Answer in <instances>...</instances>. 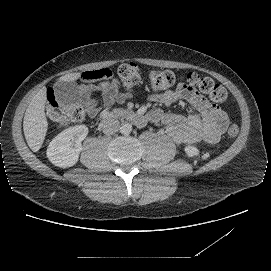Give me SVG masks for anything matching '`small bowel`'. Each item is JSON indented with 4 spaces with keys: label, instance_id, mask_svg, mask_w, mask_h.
Segmentation results:
<instances>
[{
    "label": "small bowel",
    "instance_id": "1",
    "mask_svg": "<svg viewBox=\"0 0 271 271\" xmlns=\"http://www.w3.org/2000/svg\"><path fill=\"white\" fill-rule=\"evenodd\" d=\"M82 79L85 83L80 88V96L91 115L97 113V108L89 99V95L94 91L102 92L104 107L124 102L132 95L131 91H119V82L111 79L108 69L86 71L82 74ZM151 100L161 102L167 107L180 101L189 105L191 113L186 117L165 115L159 110L149 113L151 122L166 125L167 133L175 143H216L228 127L229 121L225 112L218 105L208 102L189 85L179 84L160 96H151Z\"/></svg>",
    "mask_w": 271,
    "mask_h": 271
}]
</instances>
